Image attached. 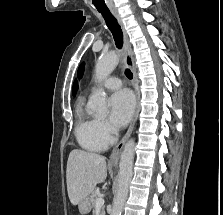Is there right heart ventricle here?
<instances>
[{
  "instance_id": "right-heart-ventricle-1",
  "label": "right heart ventricle",
  "mask_w": 223,
  "mask_h": 215,
  "mask_svg": "<svg viewBox=\"0 0 223 215\" xmlns=\"http://www.w3.org/2000/svg\"><path fill=\"white\" fill-rule=\"evenodd\" d=\"M74 133L79 145L87 151L101 152L108 147V140L99 132L97 119L82 105L76 110Z\"/></svg>"
}]
</instances>
